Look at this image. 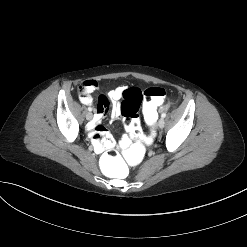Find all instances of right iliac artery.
I'll return each instance as SVG.
<instances>
[{"mask_svg": "<svg viewBox=\"0 0 247 247\" xmlns=\"http://www.w3.org/2000/svg\"><path fill=\"white\" fill-rule=\"evenodd\" d=\"M88 111H92V108L91 107H88Z\"/></svg>", "mask_w": 247, "mask_h": 247, "instance_id": "82829eb1", "label": "right iliac artery"}]
</instances>
